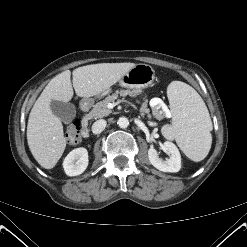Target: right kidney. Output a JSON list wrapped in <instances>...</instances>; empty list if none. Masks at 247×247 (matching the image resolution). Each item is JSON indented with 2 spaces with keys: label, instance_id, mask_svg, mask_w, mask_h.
I'll use <instances>...</instances> for the list:
<instances>
[{
  "label": "right kidney",
  "instance_id": "ca27d5eb",
  "mask_svg": "<svg viewBox=\"0 0 247 247\" xmlns=\"http://www.w3.org/2000/svg\"><path fill=\"white\" fill-rule=\"evenodd\" d=\"M88 151L86 148H76L69 152L63 161V168L68 176L82 174L88 166Z\"/></svg>",
  "mask_w": 247,
  "mask_h": 247
}]
</instances>
